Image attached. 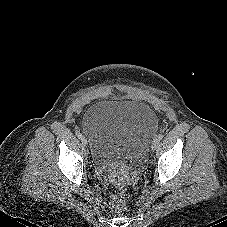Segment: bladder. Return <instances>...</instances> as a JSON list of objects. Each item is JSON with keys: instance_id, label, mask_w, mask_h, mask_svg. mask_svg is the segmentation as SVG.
Segmentation results:
<instances>
[{"instance_id": "1", "label": "bladder", "mask_w": 227, "mask_h": 227, "mask_svg": "<svg viewBox=\"0 0 227 227\" xmlns=\"http://www.w3.org/2000/svg\"><path fill=\"white\" fill-rule=\"evenodd\" d=\"M157 128L155 112L134 100L96 102L82 119V129L92 143L96 168L118 162L142 166Z\"/></svg>"}]
</instances>
